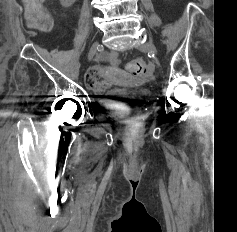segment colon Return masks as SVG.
Listing matches in <instances>:
<instances>
[{
	"mask_svg": "<svg viewBox=\"0 0 237 232\" xmlns=\"http://www.w3.org/2000/svg\"><path fill=\"white\" fill-rule=\"evenodd\" d=\"M44 0H23L27 25L36 30L47 31L51 29L53 20L43 6ZM102 68H107V62H101ZM127 70L135 77L150 78L151 68L142 57H137L127 65Z\"/></svg>",
	"mask_w": 237,
	"mask_h": 232,
	"instance_id": "colon-1",
	"label": "colon"
}]
</instances>
